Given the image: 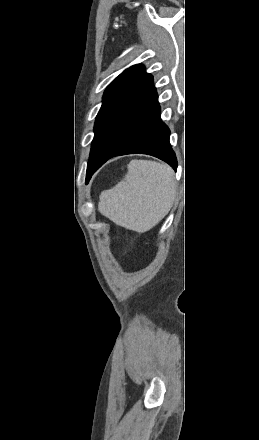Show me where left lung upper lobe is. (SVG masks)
Instances as JSON below:
<instances>
[{
    "label": "left lung upper lobe",
    "mask_w": 259,
    "mask_h": 440,
    "mask_svg": "<svg viewBox=\"0 0 259 440\" xmlns=\"http://www.w3.org/2000/svg\"><path fill=\"white\" fill-rule=\"evenodd\" d=\"M152 80V75L145 72L143 65H134L116 77L105 90L103 104L95 121V135L91 145L86 180L92 176L96 160L116 128Z\"/></svg>",
    "instance_id": "1"
}]
</instances>
